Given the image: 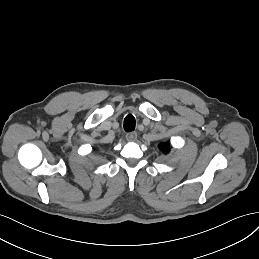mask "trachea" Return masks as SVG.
Instances as JSON below:
<instances>
[{
  "label": "trachea",
  "mask_w": 259,
  "mask_h": 259,
  "mask_svg": "<svg viewBox=\"0 0 259 259\" xmlns=\"http://www.w3.org/2000/svg\"><path fill=\"white\" fill-rule=\"evenodd\" d=\"M124 129L127 132L133 131L135 129V118L133 115H127L124 119Z\"/></svg>",
  "instance_id": "3493384b"
}]
</instances>
